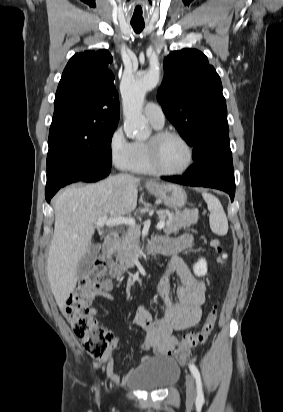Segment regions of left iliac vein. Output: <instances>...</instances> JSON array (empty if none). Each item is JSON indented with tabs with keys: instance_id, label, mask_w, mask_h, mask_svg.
<instances>
[{
	"instance_id": "4c4485c4",
	"label": "left iliac vein",
	"mask_w": 283,
	"mask_h": 412,
	"mask_svg": "<svg viewBox=\"0 0 283 412\" xmlns=\"http://www.w3.org/2000/svg\"><path fill=\"white\" fill-rule=\"evenodd\" d=\"M186 396L190 402H193L196 398L195 381L189 373L186 374Z\"/></svg>"
}]
</instances>
